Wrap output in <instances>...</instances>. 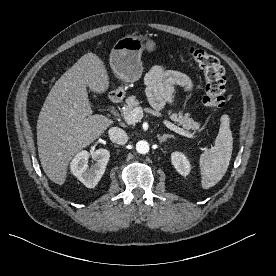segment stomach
Here are the masks:
<instances>
[{
  "instance_id": "stomach-1",
  "label": "stomach",
  "mask_w": 276,
  "mask_h": 276,
  "mask_svg": "<svg viewBox=\"0 0 276 276\" xmlns=\"http://www.w3.org/2000/svg\"><path fill=\"white\" fill-rule=\"evenodd\" d=\"M156 43L146 35L128 36L118 40L110 53V66L116 77L125 82L137 81L142 74L141 54L144 50L155 52ZM118 88L116 91H120Z\"/></svg>"
}]
</instances>
